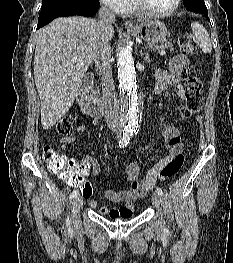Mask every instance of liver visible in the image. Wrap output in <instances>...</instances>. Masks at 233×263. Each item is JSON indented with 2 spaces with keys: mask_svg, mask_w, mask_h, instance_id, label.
Returning a JSON list of instances; mask_svg holds the SVG:
<instances>
[{
  "mask_svg": "<svg viewBox=\"0 0 233 263\" xmlns=\"http://www.w3.org/2000/svg\"><path fill=\"white\" fill-rule=\"evenodd\" d=\"M113 36L112 28L109 39ZM98 43V22L81 16L57 18L37 32L34 79L45 130L71 108ZM80 62L82 66L78 65Z\"/></svg>",
  "mask_w": 233,
  "mask_h": 263,
  "instance_id": "obj_1",
  "label": "liver"
}]
</instances>
